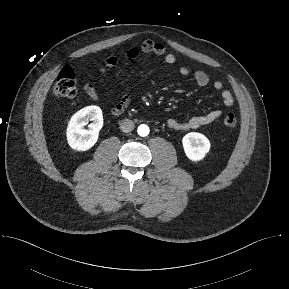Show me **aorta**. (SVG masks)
Masks as SVG:
<instances>
[{
    "instance_id": "obj_1",
    "label": "aorta",
    "mask_w": 289,
    "mask_h": 289,
    "mask_svg": "<svg viewBox=\"0 0 289 289\" xmlns=\"http://www.w3.org/2000/svg\"><path fill=\"white\" fill-rule=\"evenodd\" d=\"M138 134L142 137H145L149 134V127L145 124H142L138 127Z\"/></svg>"
}]
</instances>
